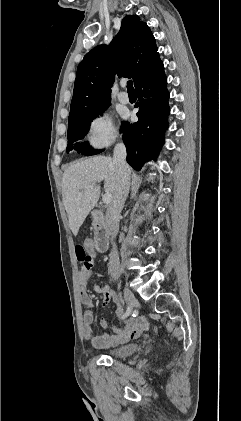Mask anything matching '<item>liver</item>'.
Here are the masks:
<instances>
[{"label": "liver", "instance_id": "liver-1", "mask_svg": "<svg viewBox=\"0 0 241 421\" xmlns=\"http://www.w3.org/2000/svg\"><path fill=\"white\" fill-rule=\"evenodd\" d=\"M101 181H104L105 192L113 197L118 174L111 157L95 156L80 160L70 164L64 171L62 198L70 229L75 236L99 200L100 186L98 184Z\"/></svg>", "mask_w": 241, "mask_h": 421}]
</instances>
